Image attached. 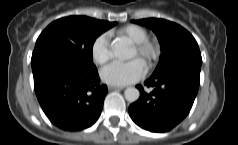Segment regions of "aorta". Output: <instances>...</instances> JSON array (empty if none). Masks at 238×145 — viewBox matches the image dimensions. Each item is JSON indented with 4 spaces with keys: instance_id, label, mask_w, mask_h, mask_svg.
Returning a JSON list of instances; mask_svg holds the SVG:
<instances>
[{
    "instance_id": "obj_1",
    "label": "aorta",
    "mask_w": 238,
    "mask_h": 145,
    "mask_svg": "<svg viewBox=\"0 0 238 145\" xmlns=\"http://www.w3.org/2000/svg\"><path fill=\"white\" fill-rule=\"evenodd\" d=\"M113 55L120 60H127L133 57V52L123 40H115L111 45ZM125 99L128 102H135L139 99L140 92L135 87H128L124 91Z\"/></svg>"
}]
</instances>
